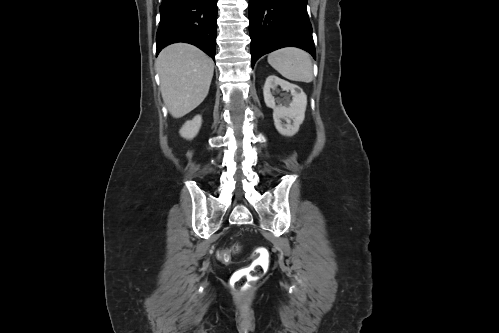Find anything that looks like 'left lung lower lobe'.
I'll return each instance as SVG.
<instances>
[{
  "mask_svg": "<svg viewBox=\"0 0 499 333\" xmlns=\"http://www.w3.org/2000/svg\"><path fill=\"white\" fill-rule=\"evenodd\" d=\"M252 67L263 55L294 46L316 58L307 0H250Z\"/></svg>",
  "mask_w": 499,
  "mask_h": 333,
  "instance_id": "0a47b994",
  "label": "left lung lower lobe"
}]
</instances>
